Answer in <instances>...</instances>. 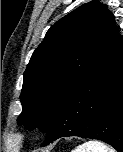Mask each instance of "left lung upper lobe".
I'll list each match as a JSON object with an SVG mask.
<instances>
[{"instance_id": "1", "label": "left lung upper lobe", "mask_w": 123, "mask_h": 152, "mask_svg": "<svg viewBox=\"0 0 123 152\" xmlns=\"http://www.w3.org/2000/svg\"><path fill=\"white\" fill-rule=\"evenodd\" d=\"M115 29L112 13L98 0L78 7L51 26L24 72L18 124L48 133L60 103Z\"/></svg>"}]
</instances>
